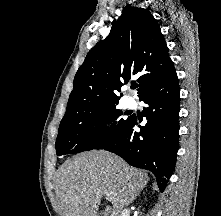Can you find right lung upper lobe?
Listing matches in <instances>:
<instances>
[{"mask_svg": "<svg viewBox=\"0 0 221 216\" xmlns=\"http://www.w3.org/2000/svg\"><path fill=\"white\" fill-rule=\"evenodd\" d=\"M173 70L157 21L146 9L126 7L79 67L63 119L118 104L116 92L135 75L140 97Z\"/></svg>", "mask_w": 221, "mask_h": 216, "instance_id": "obj_1", "label": "right lung upper lobe"}]
</instances>
